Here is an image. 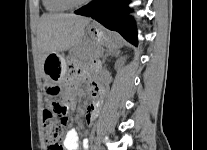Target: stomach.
<instances>
[{"instance_id":"0dacf381","label":"stomach","mask_w":207,"mask_h":150,"mask_svg":"<svg viewBox=\"0 0 207 150\" xmlns=\"http://www.w3.org/2000/svg\"><path fill=\"white\" fill-rule=\"evenodd\" d=\"M86 47H98L105 45L110 48H118L121 40L118 37H108L97 24H90L86 28ZM67 71V61L60 53L48 55L44 61L43 88L46 94L52 97H62L70 91V85L63 81Z\"/></svg>"}]
</instances>
